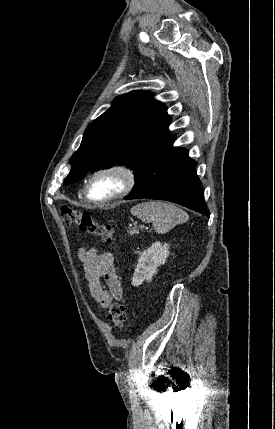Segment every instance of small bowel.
Masks as SVG:
<instances>
[{
	"label": "small bowel",
	"mask_w": 275,
	"mask_h": 429,
	"mask_svg": "<svg viewBox=\"0 0 275 429\" xmlns=\"http://www.w3.org/2000/svg\"><path fill=\"white\" fill-rule=\"evenodd\" d=\"M79 258L83 263L90 294L99 307L107 308L114 300L122 298V285L111 253H98L95 248L81 249Z\"/></svg>",
	"instance_id": "small-bowel-1"
}]
</instances>
